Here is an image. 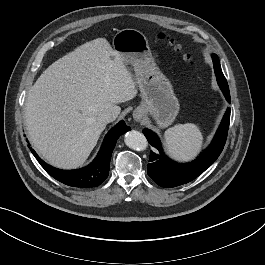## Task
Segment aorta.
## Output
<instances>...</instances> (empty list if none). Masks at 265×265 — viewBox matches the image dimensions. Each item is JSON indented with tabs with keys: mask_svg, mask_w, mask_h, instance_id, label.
Wrapping results in <instances>:
<instances>
[{
	"mask_svg": "<svg viewBox=\"0 0 265 265\" xmlns=\"http://www.w3.org/2000/svg\"><path fill=\"white\" fill-rule=\"evenodd\" d=\"M125 144L135 150H144L147 147V139L145 136L136 130L128 131L124 136Z\"/></svg>",
	"mask_w": 265,
	"mask_h": 265,
	"instance_id": "1",
	"label": "aorta"
}]
</instances>
